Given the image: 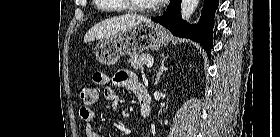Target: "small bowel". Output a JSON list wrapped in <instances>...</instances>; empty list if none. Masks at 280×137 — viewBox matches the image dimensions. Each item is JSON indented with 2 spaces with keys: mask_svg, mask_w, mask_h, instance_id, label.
I'll return each instance as SVG.
<instances>
[{
  "mask_svg": "<svg viewBox=\"0 0 280 137\" xmlns=\"http://www.w3.org/2000/svg\"><path fill=\"white\" fill-rule=\"evenodd\" d=\"M93 81L99 86L104 87V97L108 102L112 110H117L120 102V95L111 87L113 83L116 87L125 88L128 91L134 93L137 96L139 87L142 85L136 75L127 70L120 69L116 71L113 76L108 75L105 72H97L93 76ZM80 117L85 122L86 137H99L93 121L95 114L93 110L88 107H81ZM141 137H148L147 134H142Z\"/></svg>",
  "mask_w": 280,
  "mask_h": 137,
  "instance_id": "small-bowel-1",
  "label": "small bowel"
}]
</instances>
